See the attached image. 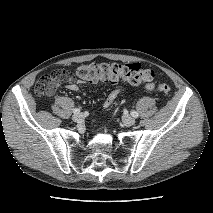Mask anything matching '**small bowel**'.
<instances>
[{
  "instance_id": "1",
  "label": "small bowel",
  "mask_w": 213,
  "mask_h": 213,
  "mask_svg": "<svg viewBox=\"0 0 213 213\" xmlns=\"http://www.w3.org/2000/svg\"><path fill=\"white\" fill-rule=\"evenodd\" d=\"M67 89L71 90V91H79L80 90V84L76 81H70L67 85H66ZM57 88V84L56 83H52L46 90V95L51 96L54 94L55 90Z\"/></svg>"
}]
</instances>
